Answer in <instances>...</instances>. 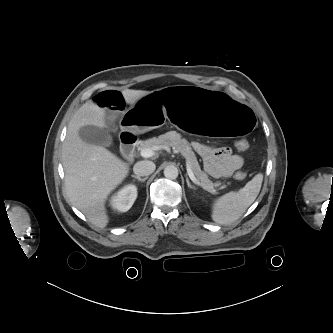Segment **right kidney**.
Instances as JSON below:
<instances>
[{"label":"right kidney","instance_id":"1","mask_svg":"<svg viewBox=\"0 0 333 333\" xmlns=\"http://www.w3.org/2000/svg\"><path fill=\"white\" fill-rule=\"evenodd\" d=\"M137 198V187L129 184L120 189L110 200V205L114 210L120 212L128 211Z\"/></svg>","mask_w":333,"mask_h":333}]
</instances>
